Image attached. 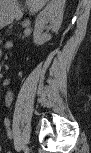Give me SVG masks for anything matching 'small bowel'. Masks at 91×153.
I'll list each match as a JSON object with an SVG mask.
<instances>
[{"mask_svg": "<svg viewBox=\"0 0 91 153\" xmlns=\"http://www.w3.org/2000/svg\"><path fill=\"white\" fill-rule=\"evenodd\" d=\"M2 84H3L4 87H7L9 85V81L8 80H3ZM12 100H13L12 93L11 92H6L5 95H4V104L8 106L12 103ZM5 123H6V125L9 124L8 121H6ZM8 137H9L10 140L13 139V135L10 131L8 132Z\"/></svg>", "mask_w": 91, "mask_h": 153, "instance_id": "c3829d8e", "label": "small bowel"}]
</instances>
